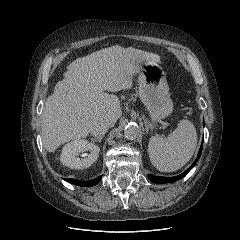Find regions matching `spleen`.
Here are the masks:
<instances>
[{
  "mask_svg": "<svg viewBox=\"0 0 240 240\" xmlns=\"http://www.w3.org/2000/svg\"><path fill=\"white\" fill-rule=\"evenodd\" d=\"M196 145L195 126L189 120H181L177 128L166 138L152 136L148 144V153L156 169L162 172H173L191 159Z\"/></svg>",
  "mask_w": 240,
  "mask_h": 240,
  "instance_id": "3e777b00",
  "label": "spleen"
}]
</instances>
